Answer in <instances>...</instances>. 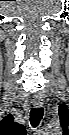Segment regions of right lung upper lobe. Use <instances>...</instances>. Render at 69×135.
Masks as SVG:
<instances>
[{
	"instance_id": "cb5924a9",
	"label": "right lung upper lobe",
	"mask_w": 69,
	"mask_h": 135,
	"mask_svg": "<svg viewBox=\"0 0 69 135\" xmlns=\"http://www.w3.org/2000/svg\"><path fill=\"white\" fill-rule=\"evenodd\" d=\"M13 116L8 115L1 121V126L13 130L17 134H25V127L13 121Z\"/></svg>"
}]
</instances>
